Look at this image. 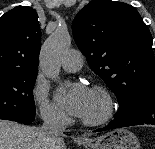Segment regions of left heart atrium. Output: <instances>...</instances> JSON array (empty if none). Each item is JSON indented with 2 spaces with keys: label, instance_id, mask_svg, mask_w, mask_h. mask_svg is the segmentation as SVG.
Wrapping results in <instances>:
<instances>
[{
  "label": "left heart atrium",
  "instance_id": "obj_1",
  "mask_svg": "<svg viewBox=\"0 0 155 149\" xmlns=\"http://www.w3.org/2000/svg\"><path fill=\"white\" fill-rule=\"evenodd\" d=\"M90 97V89L81 83L73 85L68 92H59L58 101L75 116H82Z\"/></svg>",
  "mask_w": 155,
  "mask_h": 149
}]
</instances>
